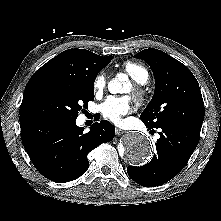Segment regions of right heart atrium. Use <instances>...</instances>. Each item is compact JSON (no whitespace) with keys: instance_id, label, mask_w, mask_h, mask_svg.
Returning <instances> with one entry per match:
<instances>
[{"instance_id":"right-heart-atrium-1","label":"right heart atrium","mask_w":221,"mask_h":221,"mask_svg":"<svg viewBox=\"0 0 221 221\" xmlns=\"http://www.w3.org/2000/svg\"><path fill=\"white\" fill-rule=\"evenodd\" d=\"M106 84H107V79L104 72L98 73L93 81V91L96 96H99L104 92Z\"/></svg>"}]
</instances>
